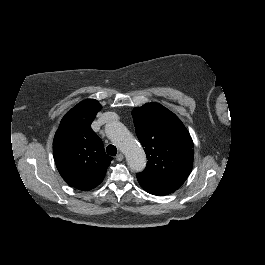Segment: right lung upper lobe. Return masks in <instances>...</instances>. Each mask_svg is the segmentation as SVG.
Instances as JSON below:
<instances>
[{"label": "right lung upper lobe", "instance_id": "1", "mask_svg": "<svg viewBox=\"0 0 265 265\" xmlns=\"http://www.w3.org/2000/svg\"><path fill=\"white\" fill-rule=\"evenodd\" d=\"M101 108L94 99L81 101L65 114L54 137L56 167L67 184L79 190L98 186L113 159L91 128Z\"/></svg>", "mask_w": 265, "mask_h": 265}]
</instances>
